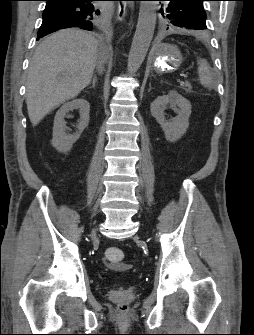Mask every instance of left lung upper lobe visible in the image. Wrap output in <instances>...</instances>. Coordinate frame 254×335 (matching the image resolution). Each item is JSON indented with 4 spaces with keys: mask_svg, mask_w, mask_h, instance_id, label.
<instances>
[{
    "mask_svg": "<svg viewBox=\"0 0 254 335\" xmlns=\"http://www.w3.org/2000/svg\"><path fill=\"white\" fill-rule=\"evenodd\" d=\"M169 4L160 12L168 20L169 27L205 30L206 13L203 8L205 0H167Z\"/></svg>",
    "mask_w": 254,
    "mask_h": 335,
    "instance_id": "5c2ea615",
    "label": "left lung upper lobe"
}]
</instances>
